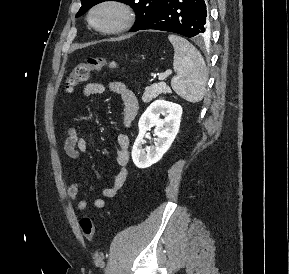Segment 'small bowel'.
<instances>
[{
    "mask_svg": "<svg viewBox=\"0 0 289 274\" xmlns=\"http://www.w3.org/2000/svg\"><path fill=\"white\" fill-rule=\"evenodd\" d=\"M110 91L120 96L124 106L123 122L125 126H130L138 114L139 103L135 93L128 88L126 84L120 81H112L107 85L102 83L92 82L88 83L84 89L83 94L86 97L104 94ZM129 136L126 133H120L117 137V155L116 160L119 165V170L113 182L102 189V197L93 199L82 198L78 199L82 187L77 183H72L67 190L68 197L76 202L79 211H85L91 203L97 209L105 208L107 203L105 198H112L116 196L124 186L128 176V162H129ZM87 141L80 136L78 128L70 126L66 131V139L64 142L65 154L74 161H81L82 155L88 152Z\"/></svg>",
    "mask_w": 289,
    "mask_h": 274,
    "instance_id": "c3829d8e",
    "label": "small bowel"
}]
</instances>
